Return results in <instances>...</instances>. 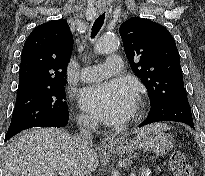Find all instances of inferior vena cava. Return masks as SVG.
<instances>
[{
	"mask_svg": "<svg viewBox=\"0 0 205 176\" xmlns=\"http://www.w3.org/2000/svg\"><path fill=\"white\" fill-rule=\"evenodd\" d=\"M79 133L72 138L73 144L79 153H88L92 150V132L98 128L96 120L80 117L78 119ZM79 176H92L90 171H83Z\"/></svg>",
	"mask_w": 205,
	"mask_h": 176,
	"instance_id": "obj_1",
	"label": "inferior vena cava"
}]
</instances>
